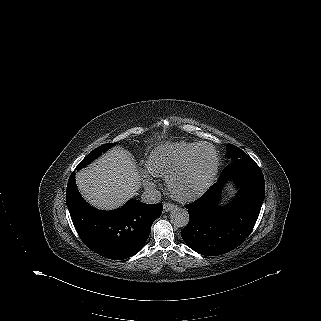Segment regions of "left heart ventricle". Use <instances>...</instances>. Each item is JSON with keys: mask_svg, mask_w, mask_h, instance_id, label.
I'll list each match as a JSON object with an SVG mask.
<instances>
[{"mask_svg": "<svg viewBox=\"0 0 321 321\" xmlns=\"http://www.w3.org/2000/svg\"><path fill=\"white\" fill-rule=\"evenodd\" d=\"M215 157L209 147L201 148L193 159L190 168L175 178L173 188L180 194H189L199 189L209 178Z\"/></svg>", "mask_w": 321, "mask_h": 321, "instance_id": "1", "label": "left heart ventricle"}]
</instances>
